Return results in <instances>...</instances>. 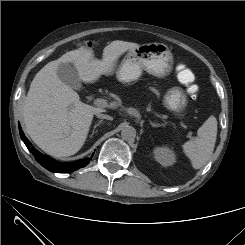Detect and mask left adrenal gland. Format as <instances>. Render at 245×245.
<instances>
[{"label":"left adrenal gland","mask_w":245,"mask_h":245,"mask_svg":"<svg viewBox=\"0 0 245 245\" xmlns=\"http://www.w3.org/2000/svg\"><path fill=\"white\" fill-rule=\"evenodd\" d=\"M150 124H151L152 127H161V126L164 125V124L154 123L152 121H150Z\"/></svg>","instance_id":"obj_1"}]
</instances>
